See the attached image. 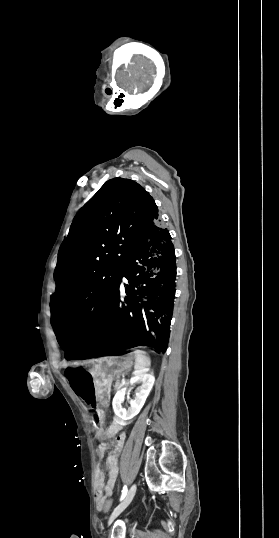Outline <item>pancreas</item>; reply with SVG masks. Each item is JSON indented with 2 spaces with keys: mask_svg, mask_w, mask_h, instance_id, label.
I'll return each mask as SVG.
<instances>
[{
  "mask_svg": "<svg viewBox=\"0 0 279 538\" xmlns=\"http://www.w3.org/2000/svg\"><path fill=\"white\" fill-rule=\"evenodd\" d=\"M113 384L116 386V387H119V384H120V381L118 379H115L113 381Z\"/></svg>",
  "mask_w": 279,
  "mask_h": 538,
  "instance_id": "cf45deb5",
  "label": "pancreas"
}]
</instances>
